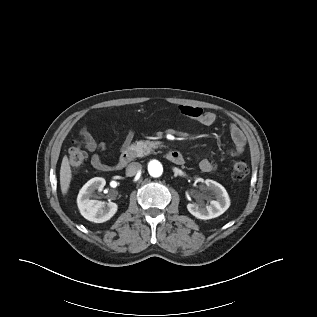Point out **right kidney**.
<instances>
[{
  "mask_svg": "<svg viewBox=\"0 0 317 317\" xmlns=\"http://www.w3.org/2000/svg\"><path fill=\"white\" fill-rule=\"evenodd\" d=\"M105 184L104 178L95 177L90 179L79 191L77 205L85 219L95 223H103L111 219L117 212L116 203L109 202L105 205L102 201L91 199L94 191L102 190Z\"/></svg>",
  "mask_w": 317,
  "mask_h": 317,
  "instance_id": "right-kidney-1",
  "label": "right kidney"
}]
</instances>
